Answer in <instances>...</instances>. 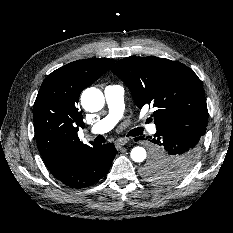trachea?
Returning <instances> with one entry per match:
<instances>
[{
	"label": "trachea",
	"instance_id": "1",
	"mask_svg": "<svg viewBox=\"0 0 233 233\" xmlns=\"http://www.w3.org/2000/svg\"><path fill=\"white\" fill-rule=\"evenodd\" d=\"M143 133V129L142 128H135L130 132V136H138L140 134ZM105 141L104 137L99 135L96 139L95 142L96 143H103Z\"/></svg>",
	"mask_w": 233,
	"mask_h": 233
}]
</instances>
